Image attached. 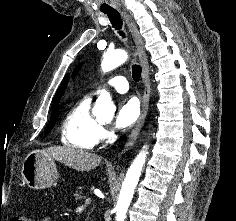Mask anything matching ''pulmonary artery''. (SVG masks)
I'll return each mask as SVG.
<instances>
[{
    "label": "pulmonary artery",
    "instance_id": "1",
    "mask_svg": "<svg viewBox=\"0 0 236 221\" xmlns=\"http://www.w3.org/2000/svg\"><path fill=\"white\" fill-rule=\"evenodd\" d=\"M105 86L111 87L119 93H125L129 89L127 79L119 75L110 77L106 81Z\"/></svg>",
    "mask_w": 236,
    "mask_h": 221
}]
</instances>
